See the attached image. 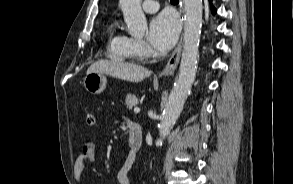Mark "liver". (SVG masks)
I'll list each match as a JSON object with an SVG mask.
<instances>
[{"label": "liver", "instance_id": "1", "mask_svg": "<svg viewBox=\"0 0 293 184\" xmlns=\"http://www.w3.org/2000/svg\"><path fill=\"white\" fill-rule=\"evenodd\" d=\"M103 73L130 82H141L151 75L148 69L132 63L112 60H100L93 63L87 70L88 73Z\"/></svg>", "mask_w": 293, "mask_h": 184}]
</instances>
